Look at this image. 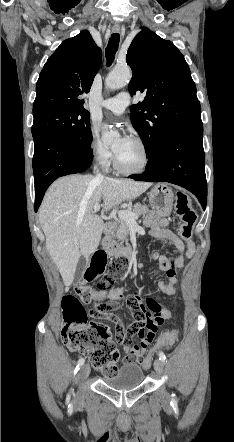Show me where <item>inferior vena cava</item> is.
Returning a JSON list of instances; mask_svg holds the SVG:
<instances>
[{
	"mask_svg": "<svg viewBox=\"0 0 234 442\" xmlns=\"http://www.w3.org/2000/svg\"><path fill=\"white\" fill-rule=\"evenodd\" d=\"M97 178H101V179H103L104 177H103V175H101V174H97Z\"/></svg>",
	"mask_w": 234,
	"mask_h": 442,
	"instance_id": "1",
	"label": "inferior vena cava"
}]
</instances>
